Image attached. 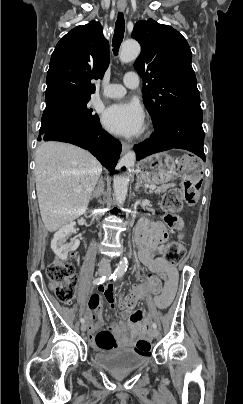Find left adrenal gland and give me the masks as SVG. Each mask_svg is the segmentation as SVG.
<instances>
[{"label":"left adrenal gland","mask_w":243,"mask_h":404,"mask_svg":"<svg viewBox=\"0 0 243 404\" xmlns=\"http://www.w3.org/2000/svg\"><path fill=\"white\" fill-rule=\"evenodd\" d=\"M139 188H144V186H142V182L141 180H136V184H135V192H138ZM144 192H147L146 188H144Z\"/></svg>","instance_id":"1"}]
</instances>
